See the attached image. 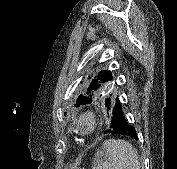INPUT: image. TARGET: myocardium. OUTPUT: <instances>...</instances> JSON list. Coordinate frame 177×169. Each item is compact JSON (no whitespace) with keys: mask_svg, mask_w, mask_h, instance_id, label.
<instances>
[{"mask_svg":"<svg viewBox=\"0 0 177 169\" xmlns=\"http://www.w3.org/2000/svg\"><path fill=\"white\" fill-rule=\"evenodd\" d=\"M76 125L83 134H90L96 128V116L91 111L83 112L76 120Z\"/></svg>","mask_w":177,"mask_h":169,"instance_id":"obj_1","label":"myocardium"}]
</instances>
